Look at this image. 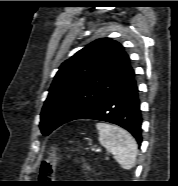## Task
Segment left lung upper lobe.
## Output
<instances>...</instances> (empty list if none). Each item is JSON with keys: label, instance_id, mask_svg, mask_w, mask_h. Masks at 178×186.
Instances as JSON below:
<instances>
[{"label": "left lung upper lobe", "instance_id": "left-lung-upper-lobe-1", "mask_svg": "<svg viewBox=\"0 0 178 186\" xmlns=\"http://www.w3.org/2000/svg\"><path fill=\"white\" fill-rule=\"evenodd\" d=\"M133 76L120 43L101 38L85 46L62 63L54 77L41 112L42 133L47 136L72 121Z\"/></svg>", "mask_w": 178, "mask_h": 186}]
</instances>
